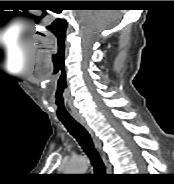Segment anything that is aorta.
<instances>
[{"mask_svg": "<svg viewBox=\"0 0 174 184\" xmlns=\"http://www.w3.org/2000/svg\"><path fill=\"white\" fill-rule=\"evenodd\" d=\"M87 170V161L83 158L75 159L66 168L65 172L68 174H84Z\"/></svg>", "mask_w": 174, "mask_h": 184, "instance_id": "1", "label": "aorta"}]
</instances>
